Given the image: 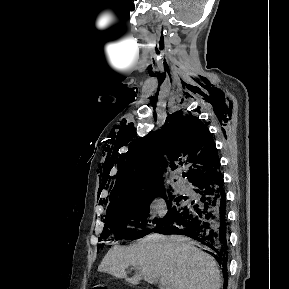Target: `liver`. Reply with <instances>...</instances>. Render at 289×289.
<instances>
[{
  "label": "liver",
  "instance_id": "liver-1",
  "mask_svg": "<svg viewBox=\"0 0 289 289\" xmlns=\"http://www.w3.org/2000/svg\"><path fill=\"white\" fill-rule=\"evenodd\" d=\"M139 273L127 278L126 268ZM98 271L138 284L164 282L166 289H220L221 276L215 259L183 236L151 234L128 247L114 246L103 258Z\"/></svg>",
  "mask_w": 289,
  "mask_h": 289
}]
</instances>
